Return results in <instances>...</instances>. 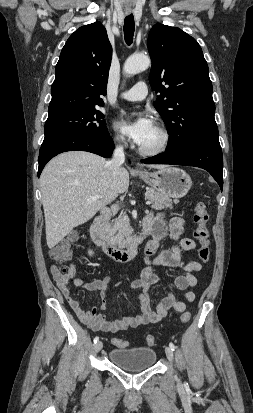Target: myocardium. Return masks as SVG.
Masks as SVG:
<instances>
[{
  "label": "myocardium",
  "mask_w": 253,
  "mask_h": 413,
  "mask_svg": "<svg viewBox=\"0 0 253 413\" xmlns=\"http://www.w3.org/2000/svg\"><path fill=\"white\" fill-rule=\"evenodd\" d=\"M155 127L161 135V140L159 144L153 148H144L142 146L138 147L139 153L146 156H155L161 154L167 150L171 142V134L168 128L160 122L155 123Z\"/></svg>",
  "instance_id": "1"
}]
</instances>
